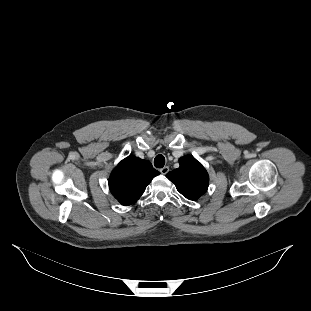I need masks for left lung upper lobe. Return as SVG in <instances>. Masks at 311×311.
Returning a JSON list of instances; mask_svg holds the SVG:
<instances>
[{"label": "left lung upper lobe", "mask_w": 311, "mask_h": 311, "mask_svg": "<svg viewBox=\"0 0 311 311\" xmlns=\"http://www.w3.org/2000/svg\"><path fill=\"white\" fill-rule=\"evenodd\" d=\"M179 164V168L168 172L166 177L183 196L197 200L207 191L208 173L202 164L190 155L180 158Z\"/></svg>", "instance_id": "1"}]
</instances>
